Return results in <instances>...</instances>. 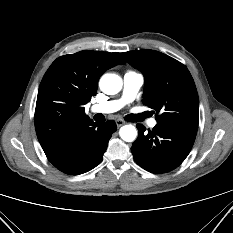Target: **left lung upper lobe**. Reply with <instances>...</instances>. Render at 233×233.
I'll use <instances>...</instances> for the list:
<instances>
[{
  "label": "left lung upper lobe",
  "mask_w": 233,
  "mask_h": 233,
  "mask_svg": "<svg viewBox=\"0 0 233 233\" xmlns=\"http://www.w3.org/2000/svg\"><path fill=\"white\" fill-rule=\"evenodd\" d=\"M122 54L129 64L143 72V103L157 112V123L197 129L198 93L186 66L155 50Z\"/></svg>",
  "instance_id": "5c2ea615"
}]
</instances>
